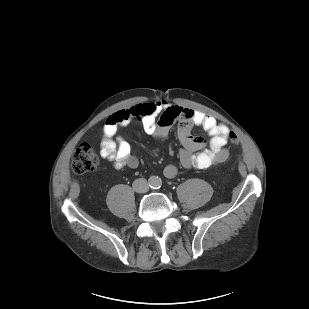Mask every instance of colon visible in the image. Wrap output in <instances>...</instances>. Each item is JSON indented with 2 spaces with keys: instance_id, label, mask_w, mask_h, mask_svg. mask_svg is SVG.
<instances>
[{
  "instance_id": "obj_1",
  "label": "colon",
  "mask_w": 309,
  "mask_h": 309,
  "mask_svg": "<svg viewBox=\"0 0 309 309\" xmlns=\"http://www.w3.org/2000/svg\"><path fill=\"white\" fill-rule=\"evenodd\" d=\"M229 140L232 144H237L238 136L234 132H231L229 133ZM99 163L100 160L94 147L85 143L75 150L71 167L74 173L85 174L95 171Z\"/></svg>"
}]
</instances>
